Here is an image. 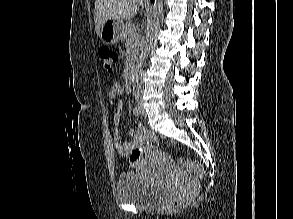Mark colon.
<instances>
[{
	"instance_id": "obj_1",
	"label": "colon",
	"mask_w": 293,
	"mask_h": 219,
	"mask_svg": "<svg viewBox=\"0 0 293 219\" xmlns=\"http://www.w3.org/2000/svg\"><path fill=\"white\" fill-rule=\"evenodd\" d=\"M100 56L102 58L105 70L107 72H113L118 62V54L115 51L111 50L110 48L104 47L100 51ZM157 145H158V139L155 133L147 130L145 133L144 142L140 146L134 148L130 152L129 154L130 161L132 163L138 162L143 156H145L146 154L154 150ZM178 163L181 168L195 173L200 178H204L206 175V172L201 165L196 164L186 158H180Z\"/></svg>"
}]
</instances>
